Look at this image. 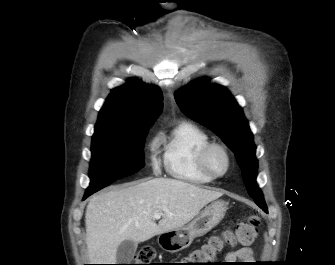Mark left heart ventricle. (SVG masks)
<instances>
[{
  "label": "left heart ventricle",
  "instance_id": "b2bd125f",
  "mask_svg": "<svg viewBox=\"0 0 335 265\" xmlns=\"http://www.w3.org/2000/svg\"><path fill=\"white\" fill-rule=\"evenodd\" d=\"M209 163L215 172H223L226 167V159L224 154L219 150L213 151L210 155Z\"/></svg>",
  "mask_w": 335,
  "mask_h": 265
}]
</instances>
